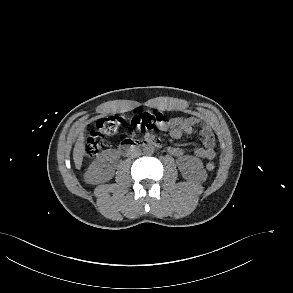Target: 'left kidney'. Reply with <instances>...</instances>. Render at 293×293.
Masks as SVG:
<instances>
[{"mask_svg": "<svg viewBox=\"0 0 293 293\" xmlns=\"http://www.w3.org/2000/svg\"><path fill=\"white\" fill-rule=\"evenodd\" d=\"M177 165L185 179L200 181L206 177L202 161L195 156L186 155L178 159Z\"/></svg>", "mask_w": 293, "mask_h": 293, "instance_id": "left-kidney-1", "label": "left kidney"}]
</instances>
